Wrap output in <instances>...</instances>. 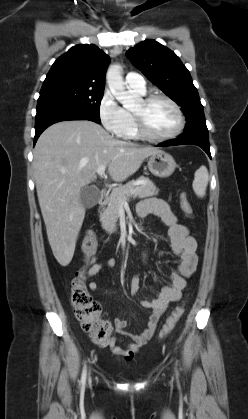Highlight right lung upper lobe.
Returning <instances> with one entry per match:
<instances>
[{
	"label": "right lung upper lobe",
	"instance_id": "1",
	"mask_svg": "<svg viewBox=\"0 0 248 419\" xmlns=\"http://www.w3.org/2000/svg\"><path fill=\"white\" fill-rule=\"evenodd\" d=\"M109 57L93 44L76 45L52 65L42 88L56 86L104 90Z\"/></svg>",
	"mask_w": 248,
	"mask_h": 419
}]
</instances>
